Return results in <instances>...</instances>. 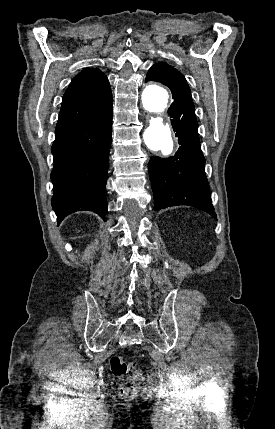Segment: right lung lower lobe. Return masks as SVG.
<instances>
[{"label":"right lung lower lobe","instance_id":"1","mask_svg":"<svg viewBox=\"0 0 275 429\" xmlns=\"http://www.w3.org/2000/svg\"><path fill=\"white\" fill-rule=\"evenodd\" d=\"M112 111L103 118L56 131L52 146V206L58 223L85 210L106 220V182L111 146Z\"/></svg>","mask_w":275,"mask_h":429}]
</instances>
